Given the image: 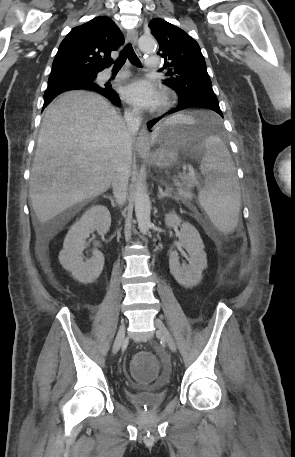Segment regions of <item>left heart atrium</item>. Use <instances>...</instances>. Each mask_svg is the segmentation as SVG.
<instances>
[{"label": "left heart atrium", "mask_w": 295, "mask_h": 457, "mask_svg": "<svg viewBox=\"0 0 295 457\" xmlns=\"http://www.w3.org/2000/svg\"><path fill=\"white\" fill-rule=\"evenodd\" d=\"M122 95L133 107L145 110L157 108L164 98L158 85L146 79H137L129 83L124 87Z\"/></svg>", "instance_id": "obj_1"}]
</instances>
